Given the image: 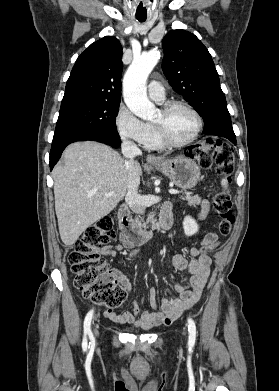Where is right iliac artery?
Segmentation results:
<instances>
[{
    "instance_id": "obj_1",
    "label": "right iliac artery",
    "mask_w": 279,
    "mask_h": 391,
    "mask_svg": "<svg viewBox=\"0 0 279 391\" xmlns=\"http://www.w3.org/2000/svg\"><path fill=\"white\" fill-rule=\"evenodd\" d=\"M93 312H94L93 310H90L87 313L85 320H84V337H83V342H82V348L84 350H86L88 347L87 336H89V338H90L89 347H90V345L93 346L95 344V340H94L93 334L91 332V321H92V317H93Z\"/></svg>"
}]
</instances>
